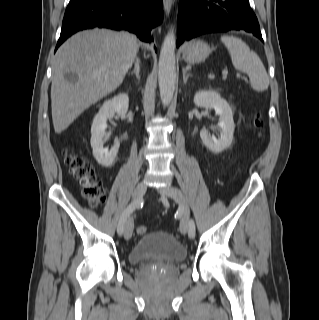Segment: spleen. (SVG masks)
<instances>
[{"label":"spleen","instance_id":"3e777b00","mask_svg":"<svg viewBox=\"0 0 319 320\" xmlns=\"http://www.w3.org/2000/svg\"><path fill=\"white\" fill-rule=\"evenodd\" d=\"M221 41L229 51L233 66L248 74L252 89L265 91L269 86V77L257 53L238 37L222 35Z\"/></svg>","mask_w":319,"mask_h":320}]
</instances>
